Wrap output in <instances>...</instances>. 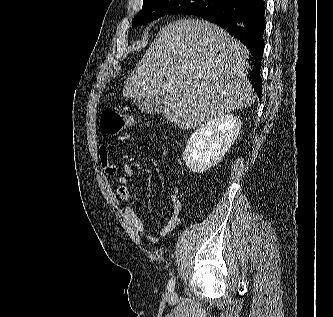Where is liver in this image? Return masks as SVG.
Returning a JSON list of instances; mask_svg holds the SVG:
<instances>
[{
  "instance_id": "obj_1",
  "label": "liver",
  "mask_w": 333,
  "mask_h": 317,
  "mask_svg": "<svg viewBox=\"0 0 333 317\" xmlns=\"http://www.w3.org/2000/svg\"><path fill=\"white\" fill-rule=\"evenodd\" d=\"M246 57V47L217 25L177 20L159 31L123 96H163L164 118L182 130L195 128L254 104Z\"/></svg>"
}]
</instances>
